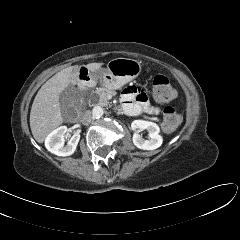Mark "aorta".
<instances>
[{"mask_svg":"<svg viewBox=\"0 0 240 240\" xmlns=\"http://www.w3.org/2000/svg\"><path fill=\"white\" fill-rule=\"evenodd\" d=\"M103 113H104L103 108L100 106H95L92 109L93 118L99 119L100 117H102Z\"/></svg>","mask_w":240,"mask_h":240,"instance_id":"762f6f07","label":"aorta"}]
</instances>
